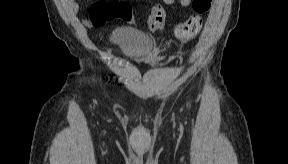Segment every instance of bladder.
<instances>
[{"mask_svg": "<svg viewBox=\"0 0 288 164\" xmlns=\"http://www.w3.org/2000/svg\"><path fill=\"white\" fill-rule=\"evenodd\" d=\"M118 41L122 45L123 50L137 60H144L154 50V43L147 37L122 34L119 36Z\"/></svg>", "mask_w": 288, "mask_h": 164, "instance_id": "bladder-1", "label": "bladder"}]
</instances>
